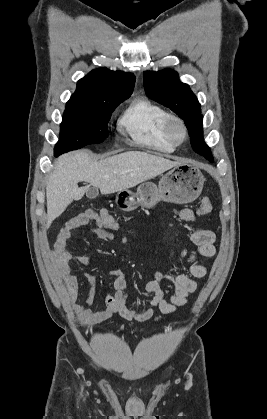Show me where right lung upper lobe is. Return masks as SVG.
<instances>
[{"label":"right lung upper lobe","instance_id":"1","mask_svg":"<svg viewBox=\"0 0 267 419\" xmlns=\"http://www.w3.org/2000/svg\"><path fill=\"white\" fill-rule=\"evenodd\" d=\"M135 76L131 73L100 68L91 71L77 83L69 101H90L131 95Z\"/></svg>","mask_w":267,"mask_h":419}]
</instances>
